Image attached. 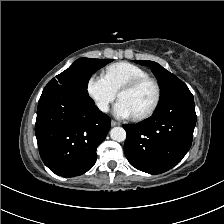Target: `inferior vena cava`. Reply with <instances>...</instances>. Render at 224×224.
<instances>
[{
	"label": "inferior vena cava",
	"instance_id": "obj_1",
	"mask_svg": "<svg viewBox=\"0 0 224 224\" xmlns=\"http://www.w3.org/2000/svg\"><path fill=\"white\" fill-rule=\"evenodd\" d=\"M98 108L102 111V112H107L109 110V107H108V103L106 102H100L98 104Z\"/></svg>",
	"mask_w": 224,
	"mask_h": 224
}]
</instances>
